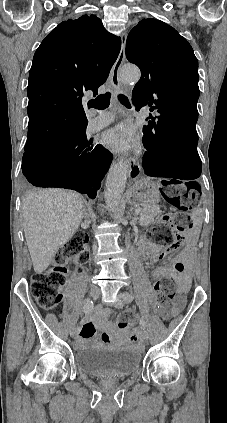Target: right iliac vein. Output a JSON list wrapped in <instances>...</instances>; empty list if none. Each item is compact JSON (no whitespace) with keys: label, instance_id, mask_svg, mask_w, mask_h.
Here are the masks:
<instances>
[{"label":"right iliac vein","instance_id":"1","mask_svg":"<svg viewBox=\"0 0 227 423\" xmlns=\"http://www.w3.org/2000/svg\"><path fill=\"white\" fill-rule=\"evenodd\" d=\"M99 295H100V291H99L98 289H96V288H91V289L89 290V296H90L91 298L96 299V298H98V297H99ZM70 334H71V336H72V337H75V336L78 334V332L76 331L75 327H73V328L70 330Z\"/></svg>","mask_w":227,"mask_h":423}]
</instances>
